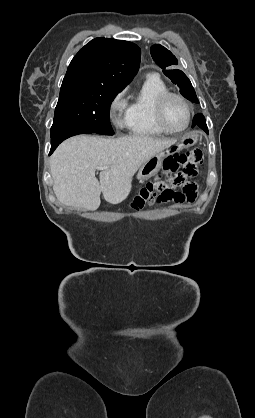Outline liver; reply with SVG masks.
I'll list each match as a JSON object with an SVG mask.
<instances>
[{"instance_id": "obj_1", "label": "liver", "mask_w": 255, "mask_h": 418, "mask_svg": "<svg viewBox=\"0 0 255 418\" xmlns=\"http://www.w3.org/2000/svg\"><path fill=\"white\" fill-rule=\"evenodd\" d=\"M175 139L148 136L103 138L79 135L64 141L50 160L53 190L66 206L96 210L100 194L110 204L124 201L136 171ZM98 167H108L95 176Z\"/></svg>"}]
</instances>
